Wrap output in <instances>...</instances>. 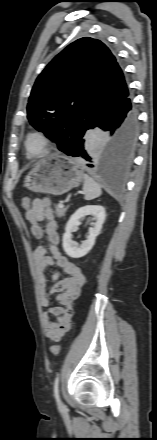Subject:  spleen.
Wrapping results in <instances>:
<instances>
[{"instance_id":"3e777b00","label":"spleen","mask_w":157,"mask_h":440,"mask_svg":"<svg viewBox=\"0 0 157 440\" xmlns=\"http://www.w3.org/2000/svg\"><path fill=\"white\" fill-rule=\"evenodd\" d=\"M83 192L85 200H93L102 194L100 185L89 175L83 173Z\"/></svg>"}]
</instances>
